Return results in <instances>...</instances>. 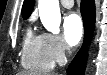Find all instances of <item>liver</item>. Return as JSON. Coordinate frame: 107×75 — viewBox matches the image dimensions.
Here are the masks:
<instances>
[{
  "label": "liver",
  "mask_w": 107,
  "mask_h": 75,
  "mask_svg": "<svg viewBox=\"0 0 107 75\" xmlns=\"http://www.w3.org/2000/svg\"><path fill=\"white\" fill-rule=\"evenodd\" d=\"M18 75H30V74L27 72H20ZM48 75H58V74H48Z\"/></svg>",
  "instance_id": "obj_1"
}]
</instances>
